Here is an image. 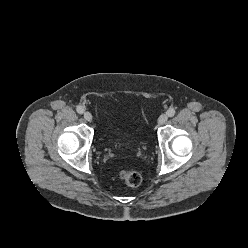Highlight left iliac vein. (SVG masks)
I'll return each mask as SVG.
<instances>
[{"label":"left iliac vein","mask_w":248,"mask_h":248,"mask_svg":"<svg viewBox=\"0 0 248 248\" xmlns=\"http://www.w3.org/2000/svg\"><path fill=\"white\" fill-rule=\"evenodd\" d=\"M167 119H168L167 114H161L160 117L158 118V124L159 125L165 124Z\"/></svg>","instance_id":"left-iliac-vein-1"}]
</instances>
